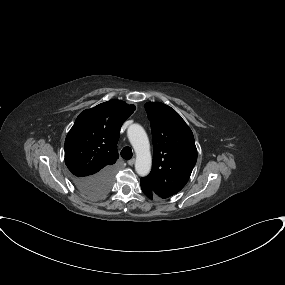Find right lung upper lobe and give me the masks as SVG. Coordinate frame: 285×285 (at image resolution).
Wrapping results in <instances>:
<instances>
[{
	"mask_svg": "<svg viewBox=\"0 0 285 285\" xmlns=\"http://www.w3.org/2000/svg\"><path fill=\"white\" fill-rule=\"evenodd\" d=\"M134 110V105L110 100L77 117L65 140V163L74 176H92L114 165L120 128Z\"/></svg>",
	"mask_w": 285,
	"mask_h": 285,
	"instance_id": "right-lung-upper-lobe-1",
	"label": "right lung upper lobe"
}]
</instances>
